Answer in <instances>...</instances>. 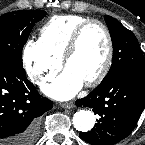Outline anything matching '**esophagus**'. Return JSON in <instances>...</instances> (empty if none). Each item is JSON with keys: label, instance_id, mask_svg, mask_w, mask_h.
<instances>
[{"label": "esophagus", "instance_id": "1", "mask_svg": "<svg viewBox=\"0 0 145 145\" xmlns=\"http://www.w3.org/2000/svg\"><path fill=\"white\" fill-rule=\"evenodd\" d=\"M60 106L64 109H71L74 107V103L73 102L61 103Z\"/></svg>", "mask_w": 145, "mask_h": 145}]
</instances>
